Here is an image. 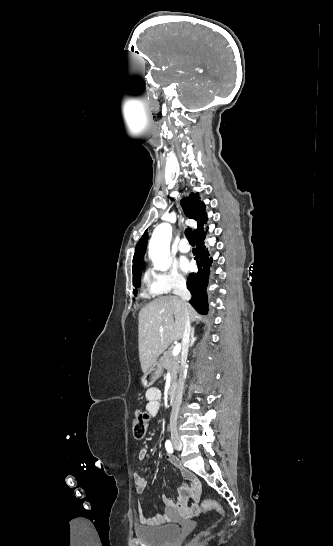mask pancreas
<instances>
[{
    "instance_id": "pancreas-1",
    "label": "pancreas",
    "mask_w": 333,
    "mask_h": 546,
    "mask_svg": "<svg viewBox=\"0 0 333 546\" xmlns=\"http://www.w3.org/2000/svg\"><path fill=\"white\" fill-rule=\"evenodd\" d=\"M173 348L170 347L167 351L163 353L160 358V363L162 368L169 370L171 372V380L175 382L177 380V374L180 372V356H172Z\"/></svg>"
}]
</instances>
